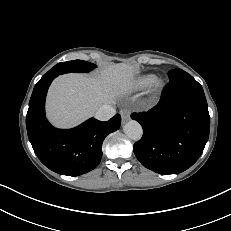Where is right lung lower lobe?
I'll list each match as a JSON object with an SVG mask.
<instances>
[{
	"label": "right lung lower lobe",
	"instance_id": "obj_1",
	"mask_svg": "<svg viewBox=\"0 0 231 231\" xmlns=\"http://www.w3.org/2000/svg\"><path fill=\"white\" fill-rule=\"evenodd\" d=\"M56 76L41 79L34 87L26 116L28 138L39 160L50 170L68 176L87 173L98 166L102 158L105 137L118 130L121 116L109 121L91 118L76 128H54L45 117V98Z\"/></svg>",
	"mask_w": 231,
	"mask_h": 231
}]
</instances>
